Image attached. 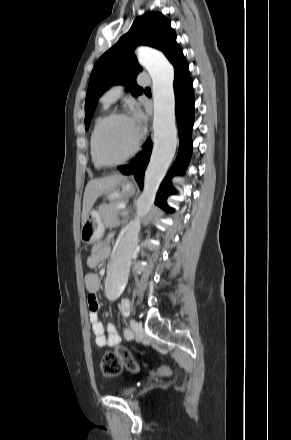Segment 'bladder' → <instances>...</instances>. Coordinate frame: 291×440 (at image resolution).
I'll return each instance as SVG.
<instances>
[{
  "label": "bladder",
  "instance_id": "obj_1",
  "mask_svg": "<svg viewBox=\"0 0 291 440\" xmlns=\"http://www.w3.org/2000/svg\"><path fill=\"white\" fill-rule=\"evenodd\" d=\"M134 391H135V389L133 387H127V388L120 390L118 392V394L122 397H127V396L131 395Z\"/></svg>",
  "mask_w": 291,
  "mask_h": 440
}]
</instances>
